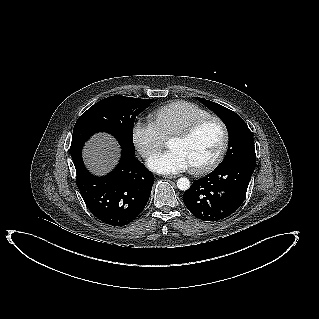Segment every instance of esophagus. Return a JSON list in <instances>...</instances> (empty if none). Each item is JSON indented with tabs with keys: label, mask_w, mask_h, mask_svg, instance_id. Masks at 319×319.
I'll return each instance as SVG.
<instances>
[{
	"label": "esophagus",
	"mask_w": 319,
	"mask_h": 319,
	"mask_svg": "<svg viewBox=\"0 0 319 319\" xmlns=\"http://www.w3.org/2000/svg\"><path fill=\"white\" fill-rule=\"evenodd\" d=\"M163 177L167 178V179H174V178H177L178 176H176V175H164Z\"/></svg>",
	"instance_id": "34e87169"
}]
</instances>
